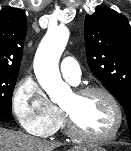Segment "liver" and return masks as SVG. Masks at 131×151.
I'll use <instances>...</instances> for the list:
<instances>
[{"label": "liver", "instance_id": "6515ba94", "mask_svg": "<svg viewBox=\"0 0 131 151\" xmlns=\"http://www.w3.org/2000/svg\"><path fill=\"white\" fill-rule=\"evenodd\" d=\"M62 144L39 140L24 133L14 132L0 127V151H52ZM84 148H72L81 151Z\"/></svg>", "mask_w": 131, "mask_h": 151}]
</instances>
